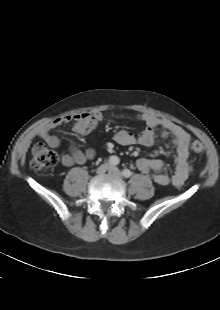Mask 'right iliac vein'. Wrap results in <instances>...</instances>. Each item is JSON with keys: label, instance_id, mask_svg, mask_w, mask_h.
<instances>
[{"label": "right iliac vein", "instance_id": "right-iliac-vein-1", "mask_svg": "<svg viewBox=\"0 0 220 310\" xmlns=\"http://www.w3.org/2000/svg\"><path fill=\"white\" fill-rule=\"evenodd\" d=\"M110 165L108 163H104L100 165L97 169V174L101 175L104 174L105 172L109 171Z\"/></svg>", "mask_w": 220, "mask_h": 310}]
</instances>
